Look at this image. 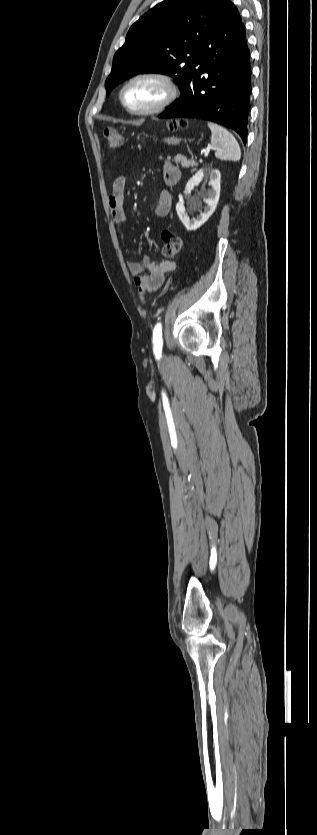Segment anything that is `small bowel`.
<instances>
[{"instance_id":"obj_1","label":"small bowel","mask_w":317,"mask_h":835,"mask_svg":"<svg viewBox=\"0 0 317 835\" xmlns=\"http://www.w3.org/2000/svg\"><path fill=\"white\" fill-rule=\"evenodd\" d=\"M162 177L166 186H174L180 180V169L172 162L165 161L162 168ZM125 186V178L123 176L117 177L108 197L110 213L117 225H122L126 221L124 211ZM171 205V194L167 189H163L154 209L155 214L159 217L166 216L170 212ZM127 267L136 286L152 292L160 287L167 273L177 268V262L172 260L156 261L149 256H145L141 260L128 261Z\"/></svg>"}]
</instances>
